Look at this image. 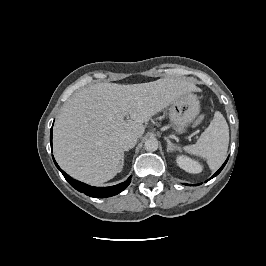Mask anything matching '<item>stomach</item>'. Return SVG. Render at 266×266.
<instances>
[{"label":"stomach","mask_w":266,"mask_h":266,"mask_svg":"<svg viewBox=\"0 0 266 266\" xmlns=\"http://www.w3.org/2000/svg\"><path fill=\"white\" fill-rule=\"evenodd\" d=\"M200 113V101L192 93H187L169 107V118L173 128L182 133Z\"/></svg>","instance_id":"0dacf381"}]
</instances>
